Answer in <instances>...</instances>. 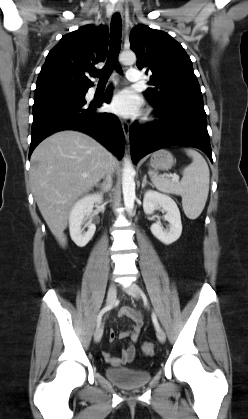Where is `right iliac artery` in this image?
I'll list each match as a JSON object with an SVG mask.
<instances>
[{"label": "right iliac artery", "mask_w": 248, "mask_h": 419, "mask_svg": "<svg viewBox=\"0 0 248 419\" xmlns=\"http://www.w3.org/2000/svg\"><path fill=\"white\" fill-rule=\"evenodd\" d=\"M111 308H112V306H106V307H104V308H103V309L99 312V314H98V316H97V326H99V325H100L103 315H104L107 311H109Z\"/></svg>", "instance_id": "82829eb1"}]
</instances>
